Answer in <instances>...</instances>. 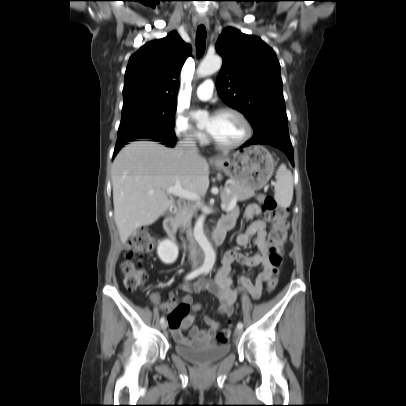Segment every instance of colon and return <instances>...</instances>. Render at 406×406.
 <instances>
[{
    "instance_id": "1",
    "label": "colon",
    "mask_w": 406,
    "mask_h": 406,
    "mask_svg": "<svg viewBox=\"0 0 406 406\" xmlns=\"http://www.w3.org/2000/svg\"><path fill=\"white\" fill-rule=\"evenodd\" d=\"M261 203L266 219L272 224L270 233L269 261L274 267V275L267 283L268 291H273L278 285V271L282 264V247L287 241L288 222L287 210L278 207L272 196L260 194L257 197ZM127 252L120 264V272L123 277V284L129 291H134L142 285L148 277L147 270L141 265L139 258L154 249L155 243L147 229L141 228L133 232L127 241ZM186 307L178 306L169 316V323L176 327L180 320L188 314ZM230 326L219 330L216 339L220 343H225L231 335Z\"/></svg>"
}]
</instances>
